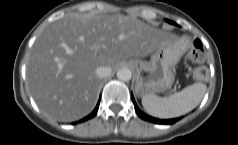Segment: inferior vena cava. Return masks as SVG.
<instances>
[{
  "label": "inferior vena cava",
  "instance_id": "602c4592",
  "mask_svg": "<svg viewBox=\"0 0 238 145\" xmlns=\"http://www.w3.org/2000/svg\"><path fill=\"white\" fill-rule=\"evenodd\" d=\"M95 73L99 78H105L111 75L112 69L107 66H100L96 68Z\"/></svg>",
  "mask_w": 238,
  "mask_h": 145
}]
</instances>
